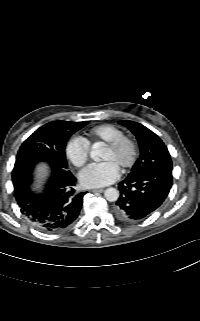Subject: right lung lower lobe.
I'll return each instance as SVG.
<instances>
[{
    "label": "right lung lower lobe",
    "instance_id": "98d812e1",
    "mask_svg": "<svg viewBox=\"0 0 200 321\" xmlns=\"http://www.w3.org/2000/svg\"><path fill=\"white\" fill-rule=\"evenodd\" d=\"M44 159L33 158L17 161L12 171L14 195L20 211L44 232L62 231L76 220L82 207L85 192L75 190L76 178L68 169L47 161L51 176L43 193L30 188L34 166Z\"/></svg>",
    "mask_w": 200,
    "mask_h": 321
}]
</instances>
